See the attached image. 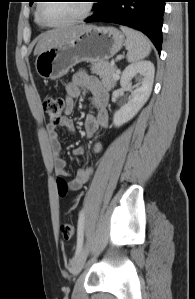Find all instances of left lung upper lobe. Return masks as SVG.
Listing matches in <instances>:
<instances>
[{
  "mask_svg": "<svg viewBox=\"0 0 195 299\" xmlns=\"http://www.w3.org/2000/svg\"><path fill=\"white\" fill-rule=\"evenodd\" d=\"M32 3H33V0H30V5H32Z\"/></svg>",
  "mask_w": 195,
  "mask_h": 299,
  "instance_id": "left-lung-upper-lobe-1",
  "label": "left lung upper lobe"
}]
</instances>
